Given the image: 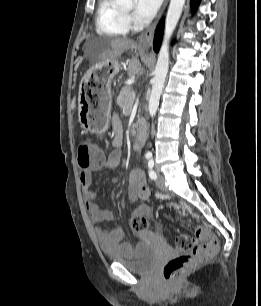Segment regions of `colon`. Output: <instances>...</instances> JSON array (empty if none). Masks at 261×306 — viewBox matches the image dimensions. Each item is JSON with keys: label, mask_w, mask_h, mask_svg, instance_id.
<instances>
[{"label": "colon", "mask_w": 261, "mask_h": 306, "mask_svg": "<svg viewBox=\"0 0 261 306\" xmlns=\"http://www.w3.org/2000/svg\"><path fill=\"white\" fill-rule=\"evenodd\" d=\"M104 159L103 152L93 146L88 139H82L77 147V161L82 169H87L100 164ZM149 191L144 189L140 192V198L146 199ZM149 222L142 214L131 217L130 227L135 232H142L149 228ZM195 232L198 238L205 242L197 245L192 235L181 233L175 239V247L182 253L169 259L162 269L165 282L171 283L185 275L190 270L205 263L218 249L219 242L213 237L210 230L204 226H197Z\"/></svg>", "instance_id": "1"}]
</instances>
